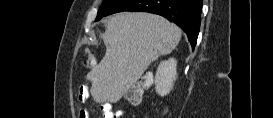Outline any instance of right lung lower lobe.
<instances>
[{
    "label": "right lung lower lobe",
    "instance_id": "98d812e1",
    "mask_svg": "<svg viewBox=\"0 0 273 118\" xmlns=\"http://www.w3.org/2000/svg\"><path fill=\"white\" fill-rule=\"evenodd\" d=\"M142 11L161 15L187 34L195 48L201 22L202 0H123L111 14Z\"/></svg>",
    "mask_w": 273,
    "mask_h": 118
}]
</instances>
